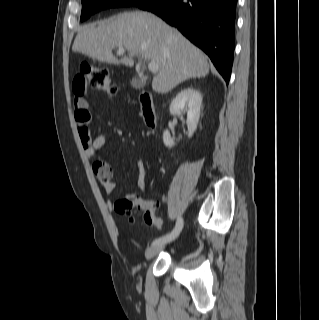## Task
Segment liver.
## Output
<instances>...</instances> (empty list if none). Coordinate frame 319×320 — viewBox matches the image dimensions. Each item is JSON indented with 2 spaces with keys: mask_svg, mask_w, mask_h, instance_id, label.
Here are the masks:
<instances>
[{
  "mask_svg": "<svg viewBox=\"0 0 319 320\" xmlns=\"http://www.w3.org/2000/svg\"><path fill=\"white\" fill-rule=\"evenodd\" d=\"M124 48L128 56L118 60L112 53ZM74 52L110 64L133 67L134 56L158 64L152 89L161 94L190 78L205 77L209 64L204 53L177 29L157 16L142 11L126 12L80 28Z\"/></svg>",
  "mask_w": 319,
  "mask_h": 320,
  "instance_id": "1",
  "label": "liver"
}]
</instances>
